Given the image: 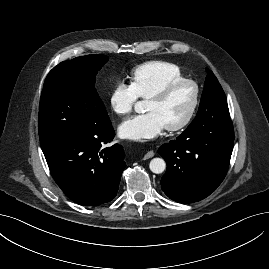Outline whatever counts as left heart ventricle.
I'll return each mask as SVG.
<instances>
[{"label":"left heart ventricle","instance_id":"1","mask_svg":"<svg viewBox=\"0 0 269 269\" xmlns=\"http://www.w3.org/2000/svg\"><path fill=\"white\" fill-rule=\"evenodd\" d=\"M194 97L191 85H181L175 88L163 100H147L145 111L155 112L165 123V126L180 122L188 113Z\"/></svg>","mask_w":269,"mask_h":269}]
</instances>
